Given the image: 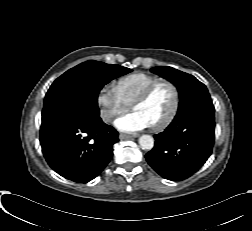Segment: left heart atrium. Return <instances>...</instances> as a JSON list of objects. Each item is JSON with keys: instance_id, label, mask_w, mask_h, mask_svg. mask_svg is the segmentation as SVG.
I'll return each instance as SVG.
<instances>
[{"instance_id": "39dd6f15", "label": "left heart atrium", "mask_w": 252, "mask_h": 231, "mask_svg": "<svg viewBox=\"0 0 252 231\" xmlns=\"http://www.w3.org/2000/svg\"><path fill=\"white\" fill-rule=\"evenodd\" d=\"M114 124L117 129L124 132H137L150 127L148 122L136 111L122 115L115 120Z\"/></svg>"}]
</instances>
